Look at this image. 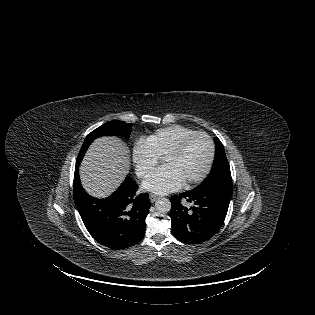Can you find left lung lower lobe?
<instances>
[{
  "instance_id": "left-lung-lower-lobe-1",
  "label": "left lung lower lobe",
  "mask_w": 315,
  "mask_h": 315,
  "mask_svg": "<svg viewBox=\"0 0 315 315\" xmlns=\"http://www.w3.org/2000/svg\"><path fill=\"white\" fill-rule=\"evenodd\" d=\"M232 190L213 187H196L190 191L172 196L170 217L172 234L187 244L202 243L221 228L229 207ZM193 204L189 209L181 199Z\"/></svg>"
}]
</instances>
